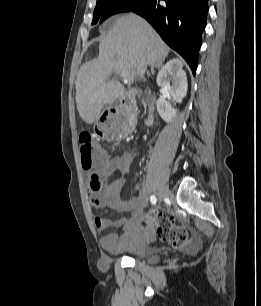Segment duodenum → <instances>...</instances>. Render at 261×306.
I'll return each instance as SVG.
<instances>
[{
	"mask_svg": "<svg viewBox=\"0 0 261 306\" xmlns=\"http://www.w3.org/2000/svg\"><path fill=\"white\" fill-rule=\"evenodd\" d=\"M135 95H136V93L131 91L128 95L124 96L121 99V105L124 109H130L134 106ZM153 111H154V107L152 105H150L149 116H148V119L146 121V124L148 126H152V124H153Z\"/></svg>",
	"mask_w": 261,
	"mask_h": 306,
	"instance_id": "duodenum-1",
	"label": "duodenum"
}]
</instances>
